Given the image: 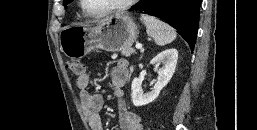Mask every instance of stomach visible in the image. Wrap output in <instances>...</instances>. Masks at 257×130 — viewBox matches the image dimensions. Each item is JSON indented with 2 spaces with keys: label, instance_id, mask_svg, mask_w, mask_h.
<instances>
[{
  "label": "stomach",
  "instance_id": "obj_1",
  "mask_svg": "<svg viewBox=\"0 0 257 130\" xmlns=\"http://www.w3.org/2000/svg\"><path fill=\"white\" fill-rule=\"evenodd\" d=\"M138 35V25L128 14H116L103 19L96 26L64 27L59 34V43L67 57L79 59L96 49L108 52L128 49Z\"/></svg>",
  "mask_w": 257,
  "mask_h": 130
}]
</instances>
